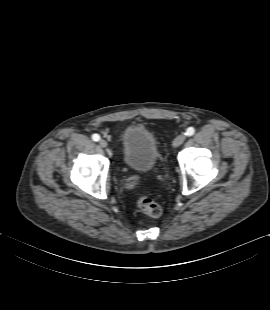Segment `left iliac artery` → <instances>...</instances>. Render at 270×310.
<instances>
[{"label": "left iliac artery", "instance_id": "obj_1", "mask_svg": "<svg viewBox=\"0 0 270 310\" xmlns=\"http://www.w3.org/2000/svg\"><path fill=\"white\" fill-rule=\"evenodd\" d=\"M194 133H195V129H194L193 127H189V128H187L185 134H186L187 136H192Z\"/></svg>", "mask_w": 270, "mask_h": 310}]
</instances>
